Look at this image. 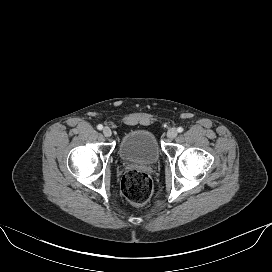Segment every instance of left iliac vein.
I'll return each instance as SVG.
<instances>
[{"label": "left iliac vein", "mask_w": 272, "mask_h": 272, "mask_svg": "<svg viewBox=\"0 0 272 272\" xmlns=\"http://www.w3.org/2000/svg\"><path fill=\"white\" fill-rule=\"evenodd\" d=\"M178 135V131L176 128H170L167 132V137L168 138H175Z\"/></svg>", "instance_id": "1"}]
</instances>
